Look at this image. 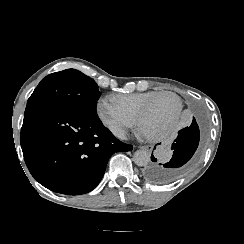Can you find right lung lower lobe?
I'll return each instance as SVG.
<instances>
[{"mask_svg": "<svg viewBox=\"0 0 244 244\" xmlns=\"http://www.w3.org/2000/svg\"><path fill=\"white\" fill-rule=\"evenodd\" d=\"M20 143L32 176L58 193L79 195L101 181L115 152L131 151L90 116L54 104H27Z\"/></svg>", "mask_w": 244, "mask_h": 244, "instance_id": "obj_1", "label": "right lung lower lobe"}]
</instances>
